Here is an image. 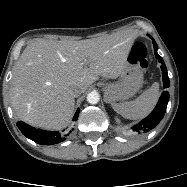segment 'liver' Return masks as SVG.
<instances>
[{
	"label": "liver",
	"mask_w": 187,
	"mask_h": 187,
	"mask_svg": "<svg viewBox=\"0 0 187 187\" xmlns=\"http://www.w3.org/2000/svg\"><path fill=\"white\" fill-rule=\"evenodd\" d=\"M135 35L120 32L80 41H32L16 62L11 100L24 122L48 130L66 127L75 101L99 76L116 79L128 66Z\"/></svg>",
	"instance_id": "6515ba94"
}]
</instances>
